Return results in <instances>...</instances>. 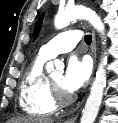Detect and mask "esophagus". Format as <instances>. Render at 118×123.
I'll return each instance as SVG.
<instances>
[{"label":"esophagus","mask_w":118,"mask_h":123,"mask_svg":"<svg viewBox=\"0 0 118 123\" xmlns=\"http://www.w3.org/2000/svg\"><path fill=\"white\" fill-rule=\"evenodd\" d=\"M91 51L94 59V64L96 65V38H95V32L92 31V46H91ZM77 116L72 117L66 121V123H74L76 120Z\"/></svg>","instance_id":"esophagus-1"}]
</instances>
